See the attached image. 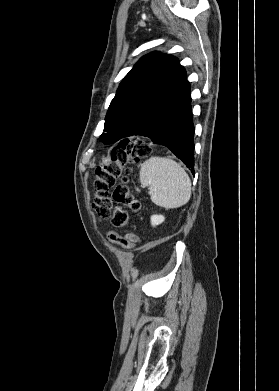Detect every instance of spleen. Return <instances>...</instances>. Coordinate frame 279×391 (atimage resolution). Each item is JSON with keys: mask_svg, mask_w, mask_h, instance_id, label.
Segmentation results:
<instances>
[{"mask_svg": "<svg viewBox=\"0 0 279 391\" xmlns=\"http://www.w3.org/2000/svg\"><path fill=\"white\" fill-rule=\"evenodd\" d=\"M140 183L149 188L151 200L166 209L185 205L191 197V180L181 165L166 157L153 156L140 168Z\"/></svg>", "mask_w": 279, "mask_h": 391, "instance_id": "3e777b00", "label": "spleen"}]
</instances>
